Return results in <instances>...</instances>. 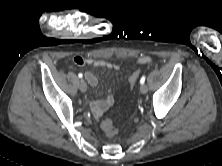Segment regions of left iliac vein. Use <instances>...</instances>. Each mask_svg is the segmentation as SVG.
I'll return each instance as SVG.
<instances>
[{"label":"left iliac vein","instance_id":"obj_1","mask_svg":"<svg viewBox=\"0 0 222 166\" xmlns=\"http://www.w3.org/2000/svg\"><path fill=\"white\" fill-rule=\"evenodd\" d=\"M147 91H148L147 85L141 84V86H140V92H141L142 94H146Z\"/></svg>","mask_w":222,"mask_h":166}]
</instances>
